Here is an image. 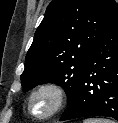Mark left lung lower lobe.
<instances>
[{
  "label": "left lung lower lobe",
  "mask_w": 118,
  "mask_h": 123,
  "mask_svg": "<svg viewBox=\"0 0 118 123\" xmlns=\"http://www.w3.org/2000/svg\"><path fill=\"white\" fill-rule=\"evenodd\" d=\"M84 116L118 120V19L93 48L60 121Z\"/></svg>",
  "instance_id": "1"
}]
</instances>
